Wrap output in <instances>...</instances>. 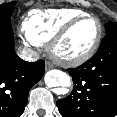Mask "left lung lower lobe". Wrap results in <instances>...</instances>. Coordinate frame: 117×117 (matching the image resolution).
Returning a JSON list of instances; mask_svg holds the SVG:
<instances>
[{
  "instance_id": "obj_1",
  "label": "left lung lower lobe",
  "mask_w": 117,
  "mask_h": 117,
  "mask_svg": "<svg viewBox=\"0 0 117 117\" xmlns=\"http://www.w3.org/2000/svg\"><path fill=\"white\" fill-rule=\"evenodd\" d=\"M74 87L57 101L63 117H114L117 114V28L106 34L96 54L68 69Z\"/></svg>"
}]
</instances>
